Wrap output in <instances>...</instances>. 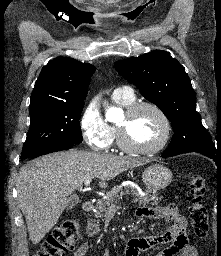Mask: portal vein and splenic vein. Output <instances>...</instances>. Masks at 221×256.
Returning <instances> with one entry per match:
<instances>
[{"label": "portal vein and splenic vein", "mask_w": 221, "mask_h": 256, "mask_svg": "<svg viewBox=\"0 0 221 256\" xmlns=\"http://www.w3.org/2000/svg\"><path fill=\"white\" fill-rule=\"evenodd\" d=\"M90 182H91V179H87V180L84 182V185H85L86 188L90 186ZM112 207H115V205L113 204Z\"/></svg>", "instance_id": "portal-vein-and-splenic-vein-1"}]
</instances>
